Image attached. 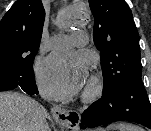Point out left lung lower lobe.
Masks as SVG:
<instances>
[{
	"instance_id": "1",
	"label": "left lung lower lobe",
	"mask_w": 151,
	"mask_h": 131,
	"mask_svg": "<svg viewBox=\"0 0 151 131\" xmlns=\"http://www.w3.org/2000/svg\"><path fill=\"white\" fill-rule=\"evenodd\" d=\"M129 121L151 129V104L141 76H132L91 104L80 117L82 129Z\"/></svg>"
}]
</instances>
